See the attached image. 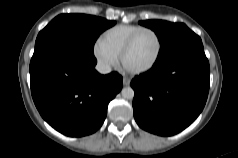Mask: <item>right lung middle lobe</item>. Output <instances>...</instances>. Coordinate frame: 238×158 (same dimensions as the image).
Returning a JSON list of instances; mask_svg holds the SVG:
<instances>
[{
  "label": "right lung middle lobe",
  "instance_id": "obj_1",
  "mask_svg": "<svg viewBox=\"0 0 238 158\" xmlns=\"http://www.w3.org/2000/svg\"><path fill=\"white\" fill-rule=\"evenodd\" d=\"M115 25V21L85 14H61L55 17L37 36L35 48L51 39H60L93 55L98 36Z\"/></svg>",
  "mask_w": 238,
  "mask_h": 158
}]
</instances>
